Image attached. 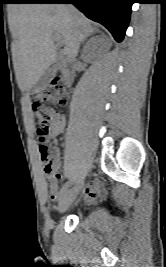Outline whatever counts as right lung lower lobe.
<instances>
[{
	"mask_svg": "<svg viewBox=\"0 0 166 267\" xmlns=\"http://www.w3.org/2000/svg\"><path fill=\"white\" fill-rule=\"evenodd\" d=\"M20 3H72L88 18L104 25L117 42L124 38L133 0H23Z\"/></svg>",
	"mask_w": 166,
	"mask_h": 267,
	"instance_id": "right-lung-lower-lobe-1",
	"label": "right lung lower lobe"
}]
</instances>
